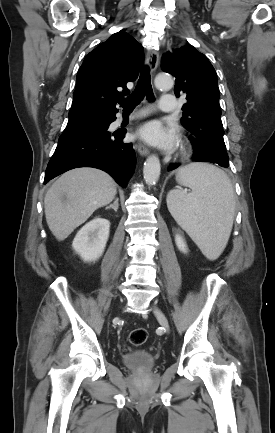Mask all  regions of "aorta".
I'll return each instance as SVG.
<instances>
[{
	"label": "aorta",
	"instance_id": "obj_1",
	"mask_svg": "<svg viewBox=\"0 0 275 433\" xmlns=\"http://www.w3.org/2000/svg\"><path fill=\"white\" fill-rule=\"evenodd\" d=\"M174 81L169 74H159L155 77V86L159 89H171ZM161 165L159 158L155 155H151L147 158L143 175L144 180L148 185H155L160 177Z\"/></svg>",
	"mask_w": 275,
	"mask_h": 433
}]
</instances>
